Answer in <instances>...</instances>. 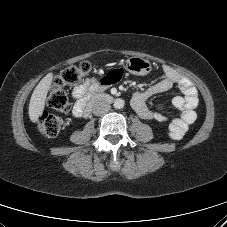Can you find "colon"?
Instances as JSON below:
<instances>
[{
    "instance_id": "5ec220e1",
    "label": "colon",
    "mask_w": 227,
    "mask_h": 227,
    "mask_svg": "<svg viewBox=\"0 0 227 227\" xmlns=\"http://www.w3.org/2000/svg\"><path fill=\"white\" fill-rule=\"evenodd\" d=\"M91 71V65L88 62H82L66 68L58 75L48 93V105L54 110L68 112L71 103L66 93V87H72L84 81ZM64 125V120L57 115L43 112L37 123L38 130L49 137L59 134Z\"/></svg>"
}]
</instances>
